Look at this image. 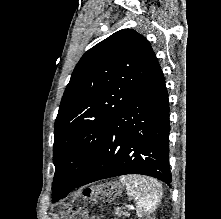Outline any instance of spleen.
<instances>
[{
	"instance_id": "1",
	"label": "spleen",
	"mask_w": 221,
	"mask_h": 219,
	"mask_svg": "<svg viewBox=\"0 0 221 219\" xmlns=\"http://www.w3.org/2000/svg\"><path fill=\"white\" fill-rule=\"evenodd\" d=\"M120 181L126 186L128 196L135 199L138 217L156 210L162 195V185L158 181L141 176H121Z\"/></svg>"
}]
</instances>
